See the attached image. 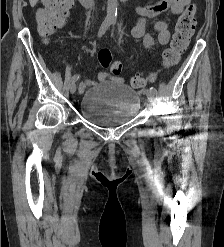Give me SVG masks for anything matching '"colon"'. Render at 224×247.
<instances>
[{"label":"colon","instance_id":"1","mask_svg":"<svg viewBox=\"0 0 224 247\" xmlns=\"http://www.w3.org/2000/svg\"><path fill=\"white\" fill-rule=\"evenodd\" d=\"M43 2L44 7L38 9L36 13L37 28L41 35L50 36L64 24L73 6V0H43ZM196 11V4L190 3L178 18L170 45L162 56V63L165 67L176 64L187 49L196 27ZM98 61L102 67L108 68L112 75L121 74L122 64L113 60L108 48H102L99 51ZM131 83L134 87H142L146 83V78L136 75Z\"/></svg>","mask_w":224,"mask_h":247}]
</instances>
